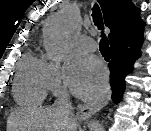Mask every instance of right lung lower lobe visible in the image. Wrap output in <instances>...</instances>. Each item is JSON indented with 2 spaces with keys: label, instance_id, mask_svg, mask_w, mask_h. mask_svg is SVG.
<instances>
[{
  "label": "right lung lower lobe",
  "instance_id": "obj_1",
  "mask_svg": "<svg viewBox=\"0 0 151 131\" xmlns=\"http://www.w3.org/2000/svg\"><path fill=\"white\" fill-rule=\"evenodd\" d=\"M112 99L118 103L125 90V77L133 70V64L140 56L139 47L133 44L116 45L110 47Z\"/></svg>",
  "mask_w": 151,
  "mask_h": 131
}]
</instances>
